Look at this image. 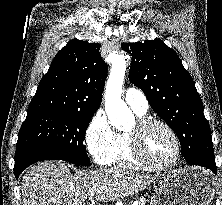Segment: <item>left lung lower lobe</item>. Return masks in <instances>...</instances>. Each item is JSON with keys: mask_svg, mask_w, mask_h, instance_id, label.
<instances>
[{"mask_svg": "<svg viewBox=\"0 0 222 205\" xmlns=\"http://www.w3.org/2000/svg\"><path fill=\"white\" fill-rule=\"evenodd\" d=\"M184 158L186 159L187 163L208 168L212 170L213 173L216 174L217 168L215 161H211L206 158L197 157L195 155H184Z\"/></svg>", "mask_w": 222, "mask_h": 205, "instance_id": "left-lung-lower-lobe-1", "label": "left lung lower lobe"}]
</instances>
